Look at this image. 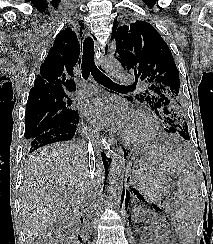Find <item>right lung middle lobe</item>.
<instances>
[{
	"mask_svg": "<svg viewBox=\"0 0 213 244\" xmlns=\"http://www.w3.org/2000/svg\"><path fill=\"white\" fill-rule=\"evenodd\" d=\"M68 95H43L28 98L25 115V139H31L78 118Z\"/></svg>",
	"mask_w": 213,
	"mask_h": 244,
	"instance_id": "right-lung-middle-lobe-1",
	"label": "right lung middle lobe"
}]
</instances>
